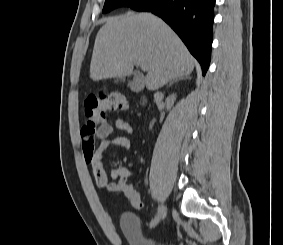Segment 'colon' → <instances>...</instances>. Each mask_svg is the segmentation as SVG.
<instances>
[{
    "instance_id": "obj_1",
    "label": "colon",
    "mask_w": 283,
    "mask_h": 245,
    "mask_svg": "<svg viewBox=\"0 0 283 245\" xmlns=\"http://www.w3.org/2000/svg\"><path fill=\"white\" fill-rule=\"evenodd\" d=\"M129 102L122 96L110 95L101 92L98 95H90L85 100V117L91 124H101L105 121L108 111L124 110ZM119 192L124 194L130 204L137 209L143 207L144 203L140 193L129 184L126 179H120L118 183Z\"/></svg>"
}]
</instances>
